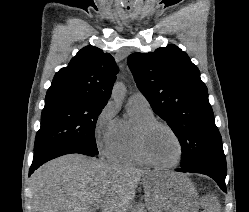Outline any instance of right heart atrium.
<instances>
[{
	"mask_svg": "<svg viewBox=\"0 0 249 212\" xmlns=\"http://www.w3.org/2000/svg\"><path fill=\"white\" fill-rule=\"evenodd\" d=\"M116 110L112 102H107L94 119L93 135L98 149L107 155L114 141Z\"/></svg>",
	"mask_w": 249,
	"mask_h": 212,
	"instance_id": "right-heart-atrium-1",
	"label": "right heart atrium"
}]
</instances>
